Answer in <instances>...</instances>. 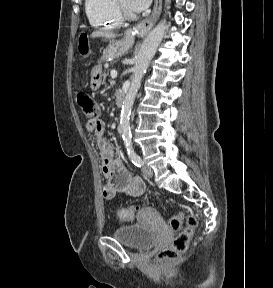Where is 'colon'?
I'll return each mask as SVG.
<instances>
[{
  "instance_id": "colon-1",
  "label": "colon",
  "mask_w": 273,
  "mask_h": 288,
  "mask_svg": "<svg viewBox=\"0 0 273 288\" xmlns=\"http://www.w3.org/2000/svg\"><path fill=\"white\" fill-rule=\"evenodd\" d=\"M86 40L81 39V48L85 50ZM78 105L84 115L96 118L99 115V106L95 99L88 93L80 92L77 95ZM136 208L126 207L118 211V216L122 221L132 222L135 219ZM186 226L182 229L183 222ZM168 226L172 231L181 230L173 239L168 248L163 249L158 254V261L161 264H168L182 255L188 247L189 241L197 227V218L192 213L180 212L168 220Z\"/></svg>"
}]
</instances>
